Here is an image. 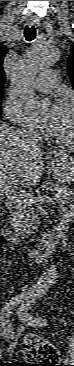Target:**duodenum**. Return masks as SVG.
<instances>
[{
	"label": "duodenum",
	"instance_id": "410a0bca",
	"mask_svg": "<svg viewBox=\"0 0 74 366\" xmlns=\"http://www.w3.org/2000/svg\"><path fill=\"white\" fill-rule=\"evenodd\" d=\"M58 242V236L55 233H47L44 235L42 243L40 244V251L47 252L52 249L55 244ZM26 253L31 255L32 252L26 250Z\"/></svg>",
	"mask_w": 74,
	"mask_h": 366
}]
</instances>
